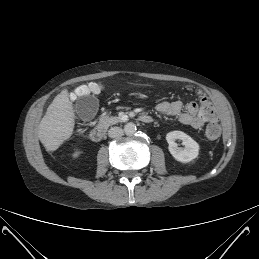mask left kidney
Here are the masks:
<instances>
[{"instance_id":"1","label":"left kidney","mask_w":259,"mask_h":259,"mask_svg":"<svg viewBox=\"0 0 259 259\" xmlns=\"http://www.w3.org/2000/svg\"><path fill=\"white\" fill-rule=\"evenodd\" d=\"M177 139L182 141L185 148L178 147V144L175 142ZM166 140L169 144L168 149L170 154L175 160L181 163H188L199 154L198 143L182 131H171L167 133Z\"/></svg>"}]
</instances>
